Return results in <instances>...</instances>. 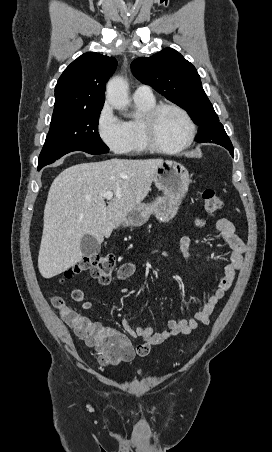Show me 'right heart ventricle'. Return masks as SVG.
<instances>
[{"label":"right heart ventricle","mask_w":272,"mask_h":452,"mask_svg":"<svg viewBox=\"0 0 272 452\" xmlns=\"http://www.w3.org/2000/svg\"><path fill=\"white\" fill-rule=\"evenodd\" d=\"M138 117L124 122L126 131V145L124 153L139 154L148 151L150 148L146 144L142 134V119L147 111L156 105L155 98H134Z\"/></svg>","instance_id":"1"}]
</instances>
